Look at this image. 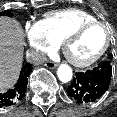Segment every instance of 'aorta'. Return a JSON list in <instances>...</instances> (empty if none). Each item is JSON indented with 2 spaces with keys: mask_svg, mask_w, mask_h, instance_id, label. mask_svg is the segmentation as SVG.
<instances>
[{
  "mask_svg": "<svg viewBox=\"0 0 117 117\" xmlns=\"http://www.w3.org/2000/svg\"><path fill=\"white\" fill-rule=\"evenodd\" d=\"M58 78L61 82L67 83L72 79L73 73L70 66L62 64L57 71Z\"/></svg>",
  "mask_w": 117,
  "mask_h": 117,
  "instance_id": "1",
  "label": "aorta"
}]
</instances>
